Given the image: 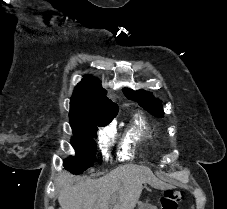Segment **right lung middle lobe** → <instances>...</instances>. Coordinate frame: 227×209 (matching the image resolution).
Wrapping results in <instances>:
<instances>
[{
	"label": "right lung middle lobe",
	"instance_id": "1",
	"mask_svg": "<svg viewBox=\"0 0 227 209\" xmlns=\"http://www.w3.org/2000/svg\"><path fill=\"white\" fill-rule=\"evenodd\" d=\"M111 120L97 116L70 120L74 133L71 144L76 151V156L66 159L64 166L73 174H81L87 168L93 166L97 149L93 138L97 137L98 127L108 125Z\"/></svg>",
	"mask_w": 227,
	"mask_h": 209
}]
</instances>
